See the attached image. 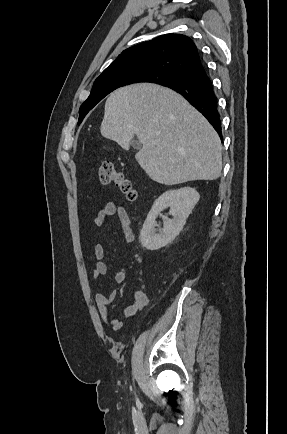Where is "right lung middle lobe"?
<instances>
[{"label": "right lung middle lobe", "instance_id": "obj_1", "mask_svg": "<svg viewBox=\"0 0 287 434\" xmlns=\"http://www.w3.org/2000/svg\"><path fill=\"white\" fill-rule=\"evenodd\" d=\"M181 75L162 71V70H145L138 73L118 74L114 76L96 79L92 91L87 100L81 105L79 110V123L85 115L106 95L115 89L134 83H155L164 84L167 82H176Z\"/></svg>", "mask_w": 287, "mask_h": 434}]
</instances>
